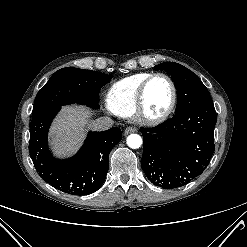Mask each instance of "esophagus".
Listing matches in <instances>:
<instances>
[{
  "instance_id": "obj_1",
  "label": "esophagus",
  "mask_w": 247,
  "mask_h": 247,
  "mask_svg": "<svg viewBox=\"0 0 247 247\" xmlns=\"http://www.w3.org/2000/svg\"><path fill=\"white\" fill-rule=\"evenodd\" d=\"M137 129L135 127H132V126H128L125 130H124V134L125 135H128L130 133H134L136 132Z\"/></svg>"
}]
</instances>
